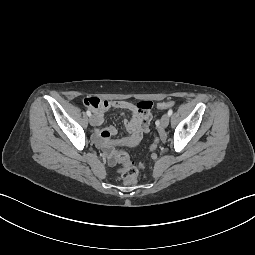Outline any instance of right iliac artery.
<instances>
[{"instance_id": "obj_1", "label": "right iliac artery", "mask_w": 255, "mask_h": 255, "mask_svg": "<svg viewBox=\"0 0 255 255\" xmlns=\"http://www.w3.org/2000/svg\"><path fill=\"white\" fill-rule=\"evenodd\" d=\"M86 113L89 117L91 116V112L89 110H87Z\"/></svg>"}]
</instances>
